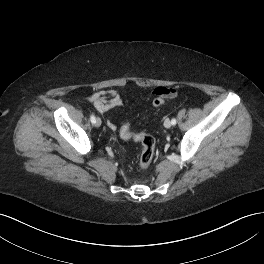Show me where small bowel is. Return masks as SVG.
<instances>
[{
  "mask_svg": "<svg viewBox=\"0 0 264 264\" xmlns=\"http://www.w3.org/2000/svg\"><path fill=\"white\" fill-rule=\"evenodd\" d=\"M178 90L175 87H157L151 95L155 98L172 99L176 97ZM88 101L93 104L99 113H105L112 108L123 105V96L121 92L116 90L97 91L88 97ZM111 130L116 129V125L111 120L107 121Z\"/></svg>",
  "mask_w": 264,
  "mask_h": 264,
  "instance_id": "obj_1",
  "label": "small bowel"
}]
</instances>
